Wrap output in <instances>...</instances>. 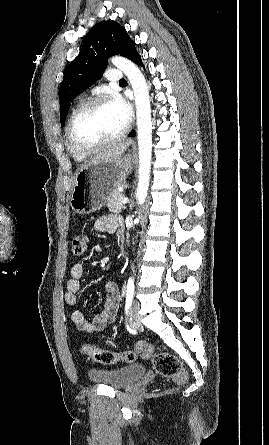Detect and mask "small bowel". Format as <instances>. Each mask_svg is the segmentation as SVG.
<instances>
[{
	"label": "small bowel",
	"mask_w": 269,
	"mask_h": 445,
	"mask_svg": "<svg viewBox=\"0 0 269 445\" xmlns=\"http://www.w3.org/2000/svg\"><path fill=\"white\" fill-rule=\"evenodd\" d=\"M98 232L107 234H120L118 219L114 216H101L94 224ZM85 273V266L82 263H75L71 268V278L67 282L64 294L65 302L70 306L78 304V294L81 290V279ZM107 300L104 310L95 316L93 320H88L81 310H74L71 320L76 327L85 332H97L103 330L107 325L113 323L118 313L120 302V291L115 282L109 281L105 284Z\"/></svg>",
	"instance_id": "c3829d8e"
}]
</instances>
